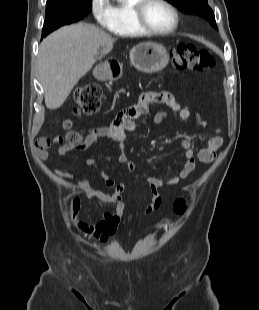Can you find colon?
I'll return each instance as SVG.
<instances>
[{
	"label": "colon",
	"mask_w": 259,
	"mask_h": 310,
	"mask_svg": "<svg viewBox=\"0 0 259 310\" xmlns=\"http://www.w3.org/2000/svg\"><path fill=\"white\" fill-rule=\"evenodd\" d=\"M215 63L213 56L205 49L191 43L178 44L173 50L172 65L177 70L201 71L212 67ZM102 91L97 84L88 83L79 87L74 93L75 114H94L101 105ZM67 130V145L78 146L82 142L79 133L70 130V122L63 123ZM174 211L177 215H182L187 209V201L179 198L174 202Z\"/></svg>",
	"instance_id": "colon-1"
}]
</instances>
